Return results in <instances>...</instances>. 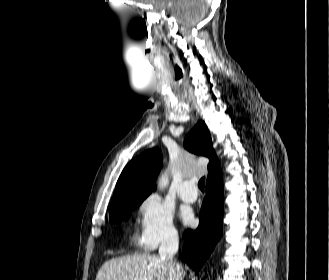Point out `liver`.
Instances as JSON below:
<instances>
[{"mask_svg":"<svg viewBox=\"0 0 329 280\" xmlns=\"http://www.w3.org/2000/svg\"><path fill=\"white\" fill-rule=\"evenodd\" d=\"M183 277L182 269L178 280ZM95 280H177V273L159 256L136 253L106 261Z\"/></svg>","mask_w":329,"mask_h":280,"instance_id":"6515ba94","label":"liver"}]
</instances>
